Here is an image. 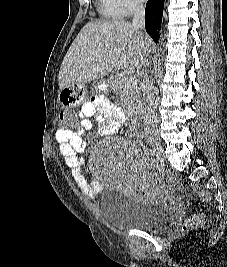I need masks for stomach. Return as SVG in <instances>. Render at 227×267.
<instances>
[{"instance_id": "obj_1", "label": "stomach", "mask_w": 227, "mask_h": 267, "mask_svg": "<svg viewBox=\"0 0 227 267\" xmlns=\"http://www.w3.org/2000/svg\"><path fill=\"white\" fill-rule=\"evenodd\" d=\"M100 90H109V85H100ZM89 87H83V82H68V87H61L56 101H62V107H77L86 102Z\"/></svg>"}]
</instances>
